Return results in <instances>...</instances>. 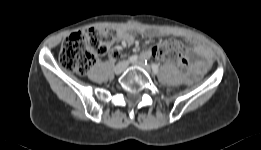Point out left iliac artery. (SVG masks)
<instances>
[{"label":"left iliac artery","instance_id":"1","mask_svg":"<svg viewBox=\"0 0 261 150\" xmlns=\"http://www.w3.org/2000/svg\"><path fill=\"white\" fill-rule=\"evenodd\" d=\"M145 64H146V60H145ZM151 66H152L153 73H154V74H157L158 71H159L158 65L155 64V63H152Z\"/></svg>","mask_w":261,"mask_h":150}]
</instances>
